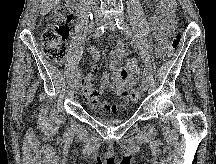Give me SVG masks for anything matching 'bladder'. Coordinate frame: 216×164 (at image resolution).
Listing matches in <instances>:
<instances>
[{
    "instance_id": "1",
    "label": "bladder",
    "mask_w": 216,
    "mask_h": 164,
    "mask_svg": "<svg viewBox=\"0 0 216 164\" xmlns=\"http://www.w3.org/2000/svg\"><path fill=\"white\" fill-rule=\"evenodd\" d=\"M99 121L104 125H116L124 121V118H101Z\"/></svg>"
}]
</instances>
